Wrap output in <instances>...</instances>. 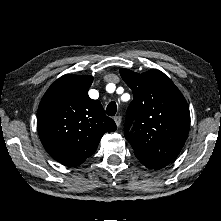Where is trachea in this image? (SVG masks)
<instances>
[{"instance_id":"obj_1","label":"trachea","mask_w":221,"mask_h":221,"mask_svg":"<svg viewBox=\"0 0 221 221\" xmlns=\"http://www.w3.org/2000/svg\"><path fill=\"white\" fill-rule=\"evenodd\" d=\"M117 111V105L115 102H110L106 108V114L108 116H114Z\"/></svg>"}]
</instances>
